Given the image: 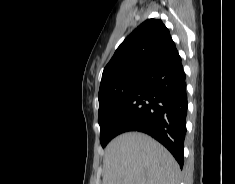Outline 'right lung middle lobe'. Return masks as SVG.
Masks as SVG:
<instances>
[{"instance_id": "1", "label": "right lung middle lobe", "mask_w": 235, "mask_h": 184, "mask_svg": "<svg viewBox=\"0 0 235 184\" xmlns=\"http://www.w3.org/2000/svg\"><path fill=\"white\" fill-rule=\"evenodd\" d=\"M142 78L131 79L122 85L106 91L99 101L98 122L100 125V143L104 148L115 136L112 128L120 112L134 90L141 84Z\"/></svg>"}]
</instances>
